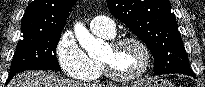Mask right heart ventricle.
<instances>
[{"label":"right heart ventricle","instance_id":"obj_1","mask_svg":"<svg viewBox=\"0 0 205 87\" xmlns=\"http://www.w3.org/2000/svg\"><path fill=\"white\" fill-rule=\"evenodd\" d=\"M103 38H106V39H111L113 37L111 36H106V35H102V34H97ZM91 63H92V66L94 68V71L92 74L82 78V80L86 81V82H92V81H97L101 78V76L103 75V70H102V67L99 63V61L97 60H94V59H91Z\"/></svg>","mask_w":205,"mask_h":87}]
</instances>
